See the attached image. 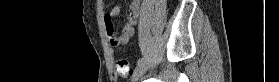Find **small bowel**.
<instances>
[{
  "label": "small bowel",
  "instance_id": "obj_1",
  "mask_svg": "<svg viewBox=\"0 0 279 82\" xmlns=\"http://www.w3.org/2000/svg\"><path fill=\"white\" fill-rule=\"evenodd\" d=\"M141 3L139 0H133L130 3L128 21L123 26L120 32H116L113 25V18L119 15L120 7L114 6L105 15V27L109 42L112 46H120L128 42V40L133 36L135 31V24L140 14Z\"/></svg>",
  "mask_w": 279,
  "mask_h": 82
}]
</instances>
